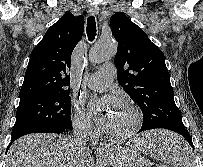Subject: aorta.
Here are the masks:
<instances>
[{
	"label": "aorta",
	"mask_w": 203,
	"mask_h": 167,
	"mask_svg": "<svg viewBox=\"0 0 203 167\" xmlns=\"http://www.w3.org/2000/svg\"><path fill=\"white\" fill-rule=\"evenodd\" d=\"M117 43L114 39H100L89 53V61L93 64L107 61L115 56Z\"/></svg>",
	"instance_id": "1"
}]
</instances>
